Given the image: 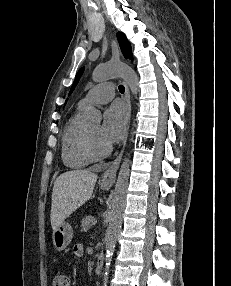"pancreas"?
Returning <instances> with one entry per match:
<instances>
[{
    "mask_svg": "<svg viewBox=\"0 0 231 286\" xmlns=\"http://www.w3.org/2000/svg\"><path fill=\"white\" fill-rule=\"evenodd\" d=\"M92 219H93V217L91 215H88L82 219V221H81V231L82 232H86L90 229Z\"/></svg>",
    "mask_w": 231,
    "mask_h": 286,
    "instance_id": "cf45deb5",
    "label": "pancreas"
}]
</instances>
